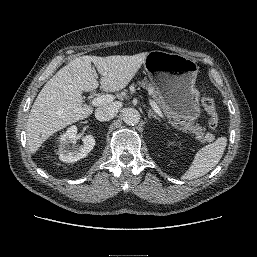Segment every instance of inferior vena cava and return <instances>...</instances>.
<instances>
[{
  "label": "inferior vena cava",
  "instance_id": "obj_1",
  "mask_svg": "<svg viewBox=\"0 0 257 257\" xmlns=\"http://www.w3.org/2000/svg\"><path fill=\"white\" fill-rule=\"evenodd\" d=\"M119 108L120 105L118 103L101 106L95 110V117L101 122L109 121L116 116Z\"/></svg>",
  "mask_w": 257,
  "mask_h": 257
}]
</instances>
